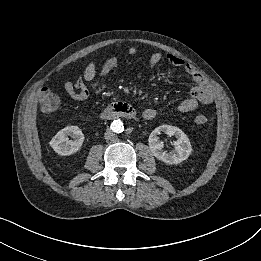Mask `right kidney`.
Here are the masks:
<instances>
[{
	"instance_id": "ca27d5eb",
	"label": "right kidney",
	"mask_w": 261,
	"mask_h": 261,
	"mask_svg": "<svg viewBox=\"0 0 261 261\" xmlns=\"http://www.w3.org/2000/svg\"><path fill=\"white\" fill-rule=\"evenodd\" d=\"M67 135L75 138V140H69ZM84 139L85 136L78 126H67L57 132L49 145L58 155L69 156L80 150Z\"/></svg>"
}]
</instances>
